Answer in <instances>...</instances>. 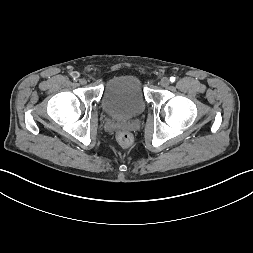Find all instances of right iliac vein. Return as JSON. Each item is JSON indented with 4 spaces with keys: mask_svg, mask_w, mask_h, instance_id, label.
Returning <instances> with one entry per match:
<instances>
[{
    "mask_svg": "<svg viewBox=\"0 0 253 253\" xmlns=\"http://www.w3.org/2000/svg\"><path fill=\"white\" fill-rule=\"evenodd\" d=\"M79 83L85 85L87 83V80L85 78H81L79 79Z\"/></svg>",
    "mask_w": 253,
    "mask_h": 253,
    "instance_id": "right-iliac-vein-1",
    "label": "right iliac vein"
}]
</instances>
